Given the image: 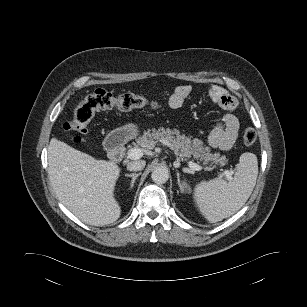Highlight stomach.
<instances>
[{
	"instance_id": "1",
	"label": "stomach",
	"mask_w": 307,
	"mask_h": 307,
	"mask_svg": "<svg viewBox=\"0 0 307 307\" xmlns=\"http://www.w3.org/2000/svg\"><path fill=\"white\" fill-rule=\"evenodd\" d=\"M138 126L133 123H128L111 132L112 136L117 137L120 141L130 140L138 135Z\"/></svg>"
}]
</instances>
